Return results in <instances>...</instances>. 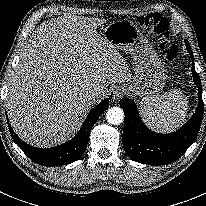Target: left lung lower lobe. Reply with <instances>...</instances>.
I'll list each match as a JSON object with an SVG mask.
<instances>
[{"label": "left lung lower lobe", "mask_w": 206, "mask_h": 206, "mask_svg": "<svg viewBox=\"0 0 206 206\" xmlns=\"http://www.w3.org/2000/svg\"><path fill=\"white\" fill-rule=\"evenodd\" d=\"M187 50L193 59L190 46H187ZM192 74L199 90V104L191 119L174 133L159 134L149 130L141 121L135 103L127 97L120 100V106L125 113L123 146L132 160L148 165H165L177 160L195 141L201 125L204 106L202 87L194 68V62Z\"/></svg>", "instance_id": "left-lung-lower-lobe-1"}]
</instances>
